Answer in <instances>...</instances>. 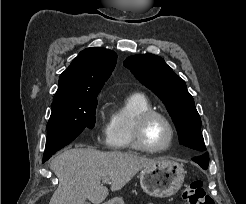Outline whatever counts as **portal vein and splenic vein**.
Wrapping results in <instances>:
<instances>
[{
	"instance_id": "1",
	"label": "portal vein and splenic vein",
	"mask_w": 246,
	"mask_h": 204,
	"mask_svg": "<svg viewBox=\"0 0 246 204\" xmlns=\"http://www.w3.org/2000/svg\"><path fill=\"white\" fill-rule=\"evenodd\" d=\"M102 181L103 183H109V184L111 183L109 178H104Z\"/></svg>"
}]
</instances>
